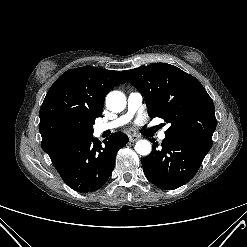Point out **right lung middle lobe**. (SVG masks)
Here are the masks:
<instances>
[{"mask_svg": "<svg viewBox=\"0 0 247 247\" xmlns=\"http://www.w3.org/2000/svg\"><path fill=\"white\" fill-rule=\"evenodd\" d=\"M93 133V128L91 127L89 135Z\"/></svg>", "mask_w": 247, "mask_h": 247, "instance_id": "1", "label": "right lung middle lobe"}]
</instances>
